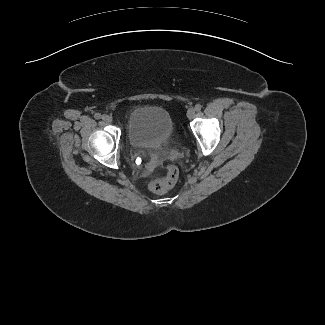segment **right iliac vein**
I'll use <instances>...</instances> for the list:
<instances>
[{
  "instance_id": "right-iliac-vein-1",
  "label": "right iliac vein",
  "mask_w": 325,
  "mask_h": 325,
  "mask_svg": "<svg viewBox=\"0 0 325 325\" xmlns=\"http://www.w3.org/2000/svg\"><path fill=\"white\" fill-rule=\"evenodd\" d=\"M102 120L105 121L106 123H111L112 122V117L109 115L104 114L102 116Z\"/></svg>"
}]
</instances>
